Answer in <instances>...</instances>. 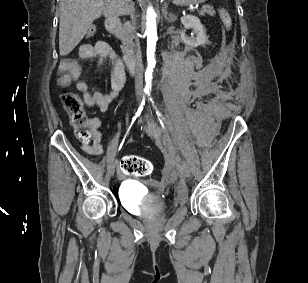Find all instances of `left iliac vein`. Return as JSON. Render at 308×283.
Wrapping results in <instances>:
<instances>
[{
  "instance_id": "1",
  "label": "left iliac vein",
  "mask_w": 308,
  "mask_h": 283,
  "mask_svg": "<svg viewBox=\"0 0 308 283\" xmlns=\"http://www.w3.org/2000/svg\"><path fill=\"white\" fill-rule=\"evenodd\" d=\"M146 126L149 130V132L157 139V140H163L164 142H168V138L163 134V130L159 126V124L151 119L147 118L146 120ZM180 173L181 176L188 178L191 174L190 167L186 162H182L180 165Z\"/></svg>"
}]
</instances>
